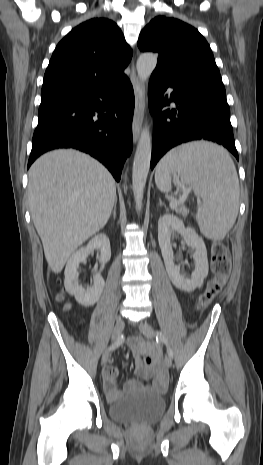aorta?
Wrapping results in <instances>:
<instances>
[{"mask_svg": "<svg viewBox=\"0 0 263 465\" xmlns=\"http://www.w3.org/2000/svg\"><path fill=\"white\" fill-rule=\"evenodd\" d=\"M157 65V55L142 53L137 60V73L143 87ZM151 134L149 127L145 126L137 145L132 169V188L136 202V210L142 209V200L151 160Z\"/></svg>", "mask_w": 263, "mask_h": 465, "instance_id": "762f6f07", "label": "aorta"}]
</instances>
